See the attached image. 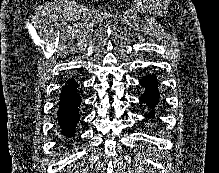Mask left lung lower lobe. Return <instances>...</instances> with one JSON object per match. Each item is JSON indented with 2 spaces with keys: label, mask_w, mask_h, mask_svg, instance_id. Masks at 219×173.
I'll return each mask as SVG.
<instances>
[{
  "label": "left lung lower lobe",
  "mask_w": 219,
  "mask_h": 173,
  "mask_svg": "<svg viewBox=\"0 0 219 173\" xmlns=\"http://www.w3.org/2000/svg\"><path fill=\"white\" fill-rule=\"evenodd\" d=\"M140 84L145 87V93L140 97V101L154 109L160 98L156 77L154 75H148L140 80ZM154 114L155 112L152 110L148 114H145V117L150 118Z\"/></svg>",
  "instance_id": "1"
}]
</instances>
